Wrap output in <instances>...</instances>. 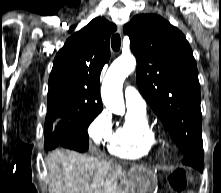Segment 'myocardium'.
<instances>
[{
  "mask_svg": "<svg viewBox=\"0 0 221 193\" xmlns=\"http://www.w3.org/2000/svg\"><path fill=\"white\" fill-rule=\"evenodd\" d=\"M150 132H151L152 136L154 137V139L155 138L159 139L162 136L160 130L153 125H150Z\"/></svg>",
  "mask_w": 221,
  "mask_h": 193,
  "instance_id": "f54148a6",
  "label": "myocardium"
}]
</instances>
